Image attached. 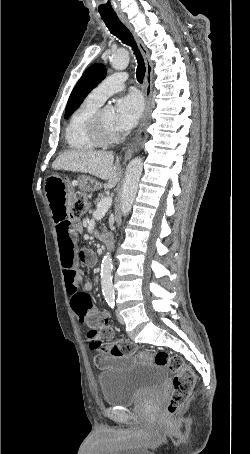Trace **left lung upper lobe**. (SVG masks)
I'll return each mask as SVG.
<instances>
[{
    "instance_id": "1",
    "label": "left lung upper lobe",
    "mask_w": 250,
    "mask_h": 454,
    "mask_svg": "<svg viewBox=\"0 0 250 454\" xmlns=\"http://www.w3.org/2000/svg\"><path fill=\"white\" fill-rule=\"evenodd\" d=\"M105 75L106 69L101 63L91 65L84 72L69 97L65 118L81 105L84 98L104 79Z\"/></svg>"
}]
</instances>
